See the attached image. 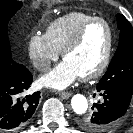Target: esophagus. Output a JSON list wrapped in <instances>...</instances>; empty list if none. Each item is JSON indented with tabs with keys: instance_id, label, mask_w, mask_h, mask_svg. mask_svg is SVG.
<instances>
[{
	"instance_id": "34e87169",
	"label": "esophagus",
	"mask_w": 133,
	"mask_h": 133,
	"mask_svg": "<svg viewBox=\"0 0 133 133\" xmlns=\"http://www.w3.org/2000/svg\"><path fill=\"white\" fill-rule=\"evenodd\" d=\"M59 96L63 99H68L71 96V93L67 91H63V92H59Z\"/></svg>"
}]
</instances>
